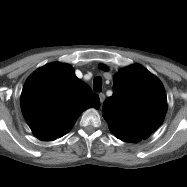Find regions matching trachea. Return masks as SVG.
<instances>
[{
  "instance_id": "obj_1",
  "label": "trachea",
  "mask_w": 187,
  "mask_h": 187,
  "mask_svg": "<svg viewBox=\"0 0 187 187\" xmlns=\"http://www.w3.org/2000/svg\"><path fill=\"white\" fill-rule=\"evenodd\" d=\"M93 89L95 92H101L102 91V79L101 77H95L93 80Z\"/></svg>"
}]
</instances>
